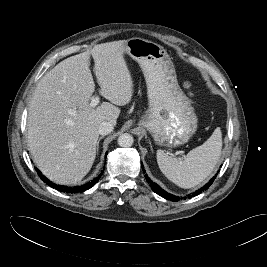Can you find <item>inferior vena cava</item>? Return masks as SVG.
I'll return each mask as SVG.
<instances>
[{
  "label": "inferior vena cava",
  "instance_id": "obj_1",
  "mask_svg": "<svg viewBox=\"0 0 267 267\" xmlns=\"http://www.w3.org/2000/svg\"><path fill=\"white\" fill-rule=\"evenodd\" d=\"M114 129V125L111 122L104 121L100 124L98 132L100 135H107Z\"/></svg>",
  "mask_w": 267,
  "mask_h": 267
}]
</instances>
